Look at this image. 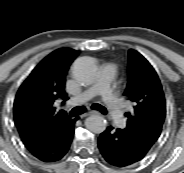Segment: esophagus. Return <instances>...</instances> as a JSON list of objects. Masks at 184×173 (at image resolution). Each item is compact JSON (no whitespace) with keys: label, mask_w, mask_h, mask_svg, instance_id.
Masks as SVG:
<instances>
[{"label":"esophagus","mask_w":184,"mask_h":173,"mask_svg":"<svg viewBox=\"0 0 184 173\" xmlns=\"http://www.w3.org/2000/svg\"><path fill=\"white\" fill-rule=\"evenodd\" d=\"M93 113H94V112H87V113H84V114H82V117L91 115V114H93Z\"/></svg>","instance_id":"esophagus-1"}]
</instances>
